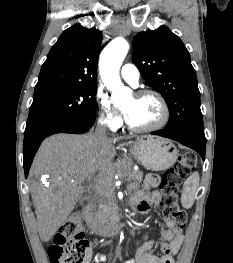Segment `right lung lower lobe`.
<instances>
[{"instance_id": "98d812e1", "label": "right lung lower lobe", "mask_w": 233, "mask_h": 263, "mask_svg": "<svg viewBox=\"0 0 233 263\" xmlns=\"http://www.w3.org/2000/svg\"><path fill=\"white\" fill-rule=\"evenodd\" d=\"M96 115L54 121L24 133L23 160L25 177L33 161V158L46 137L60 132L82 134L88 131L95 122Z\"/></svg>"}]
</instances>
